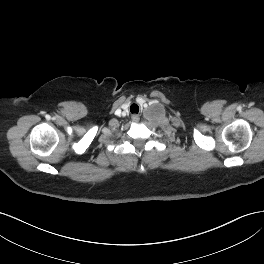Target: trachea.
Returning a JSON list of instances; mask_svg holds the SVG:
<instances>
[{
  "mask_svg": "<svg viewBox=\"0 0 264 264\" xmlns=\"http://www.w3.org/2000/svg\"><path fill=\"white\" fill-rule=\"evenodd\" d=\"M131 113H138L139 112V106L137 104H132L130 106Z\"/></svg>",
  "mask_w": 264,
  "mask_h": 264,
  "instance_id": "3493384b",
  "label": "trachea"
}]
</instances>
